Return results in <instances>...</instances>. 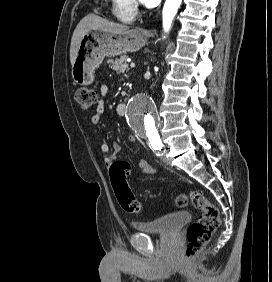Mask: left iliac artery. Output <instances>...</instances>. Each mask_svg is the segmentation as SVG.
I'll use <instances>...</instances> for the list:
<instances>
[{
  "mask_svg": "<svg viewBox=\"0 0 272 282\" xmlns=\"http://www.w3.org/2000/svg\"><path fill=\"white\" fill-rule=\"evenodd\" d=\"M150 148L156 151H161L163 149V144L160 138L153 139L150 141Z\"/></svg>",
  "mask_w": 272,
  "mask_h": 282,
  "instance_id": "left-iliac-artery-1",
  "label": "left iliac artery"
}]
</instances>
